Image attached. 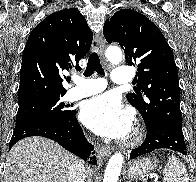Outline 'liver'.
<instances>
[{
    "instance_id": "6515ba94",
    "label": "liver",
    "mask_w": 196,
    "mask_h": 182,
    "mask_svg": "<svg viewBox=\"0 0 196 182\" xmlns=\"http://www.w3.org/2000/svg\"><path fill=\"white\" fill-rule=\"evenodd\" d=\"M75 161L74 155L54 141L28 137L11 148L4 182H68Z\"/></svg>"
}]
</instances>
